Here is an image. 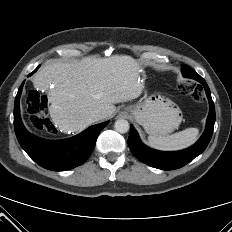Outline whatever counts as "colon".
Masks as SVG:
<instances>
[{"label": "colon", "instance_id": "obj_1", "mask_svg": "<svg viewBox=\"0 0 232 232\" xmlns=\"http://www.w3.org/2000/svg\"><path fill=\"white\" fill-rule=\"evenodd\" d=\"M179 89L185 95H189L196 102L203 100L202 89L194 83L183 81L179 84ZM47 100L36 90H30L27 94V108L30 115V122L36 128L45 126V111Z\"/></svg>", "mask_w": 232, "mask_h": 232}]
</instances>
